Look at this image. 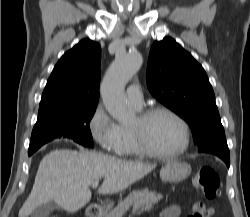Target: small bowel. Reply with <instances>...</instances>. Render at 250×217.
Wrapping results in <instances>:
<instances>
[{
    "label": "small bowel",
    "mask_w": 250,
    "mask_h": 217,
    "mask_svg": "<svg viewBox=\"0 0 250 217\" xmlns=\"http://www.w3.org/2000/svg\"><path fill=\"white\" fill-rule=\"evenodd\" d=\"M181 213V209L178 205H171L166 207L162 213H161V217H179ZM204 217H210V214L207 213L205 214Z\"/></svg>",
    "instance_id": "1"
}]
</instances>
